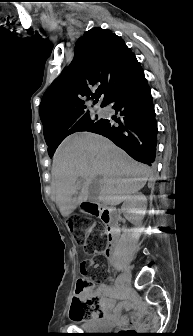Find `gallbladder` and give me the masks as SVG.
<instances>
[{"instance_id": "obj_1", "label": "gallbladder", "mask_w": 193, "mask_h": 336, "mask_svg": "<svg viewBox=\"0 0 193 336\" xmlns=\"http://www.w3.org/2000/svg\"><path fill=\"white\" fill-rule=\"evenodd\" d=\"M93 196H94V194H93L92 188H90V191H89V198H92Z\"/></svg>"}]
</instances>
